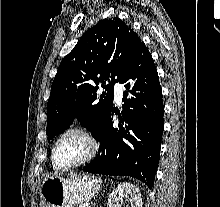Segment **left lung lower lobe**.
Listing matches in <instances>:
<instances>
[{
	"label": "left lung lower lobe",
	"instance_id": "0a47b994",
	"mask_svg": "<svg viewBox=\"0 0 220 207\" xmlns=\"http://www.w3.org/2000/svg\"><path fill=\"white\" fill-rule=\"evenodd\" d=\"M119 83L125 84L123 111L113 127L112 107L94 135L98 154L83 171L135 177L153 187L164 129V106L157 69L143 42L135 50Z\"/></svg>",
	"mask_w": 220,
	"mask_h": 207
}]
</instances>
